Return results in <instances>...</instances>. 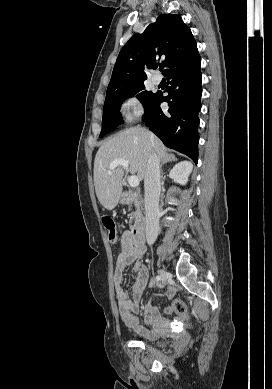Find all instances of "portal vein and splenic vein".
Here are the masks:
<instances>
[{"label":"portal vein and splenic vein","instance_id":"18ae733b","mask_svg":"<svg viewBox=\"0 0 272 389\" xmlns=\"http://www.w3.org/2000/svg\"><path fill=\"white\" fill-rule=\"evenodd\" d=\"M118 166H121L123 167L126 171H128V167H129V163L128 161L124 160V159H115L109 166V171H108V174L111 175L112 174V171L118 167ZM139 178L135 175H132L128 178V183L131 187L135 188V187H138L139 185Z\"/></svg>","mask_w":272,"mask_h":389}]
</instances>
